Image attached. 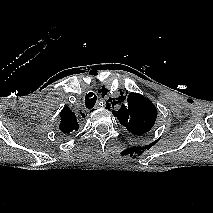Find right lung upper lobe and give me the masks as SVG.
Wrapping results in <instances>:
<instances>
[{
    "label": "right lung upper lobe",
    "instance_id": "1",
    "mask_svg": "<svg viewBox=\"0 0 213 213\" xmlns=\"http://www.w3.org/2000/svg\"><path fill=\"white\" fill-rule=\"evenodd\" d=\"M61 122L59 125L60 131L64 136L71 135L78 130L79 124L77 122L75 114L70 110L69 107H64L60 113Z\"/></svg>",
    "mask_w": 213,
    "mask_h": 213
}]
</instances>
